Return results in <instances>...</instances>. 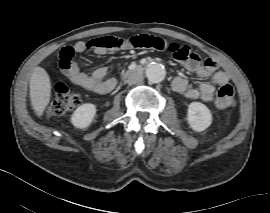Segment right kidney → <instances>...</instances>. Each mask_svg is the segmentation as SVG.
Listing matches in <instances>:
<instances>
[{
	"instance_id": "right-kidney-1",
	"label": "right kidney",
	"mask_w": 270,
	"mask_h": 213,
	"mask_svg": "<svg viewBox=\"0 0 270 213\" xmlns=\"http://www.w3.org/2000/svg\"><path fill=\"white\" fill-rule=\"evenodd\" d=\"M96 114V106L91 103H85L79 106L71 117L72 124L80 129L88 127Z\"/></svg>"
}]
</instances>
